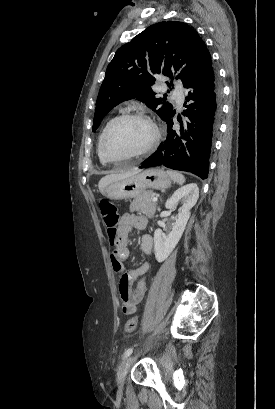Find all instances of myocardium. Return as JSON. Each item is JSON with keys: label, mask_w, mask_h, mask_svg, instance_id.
Returning <instances> with one entry per match:
<instances>
[{"label": "myocardium", "mask_w": 275, "mask_h": 409, "mask_svg": "<svg viewBox=\"0 0 275 409\" xmlns=\"http://www.w3.org/2000/svg\"><path fill=\"white\" fill-rule=\"evenodd\" d=\"M125 120H136V121H140L144 123L149 130V135L145 143L140 148L122 157H137V156L143 155L149 152L152 149V147L156 144V142L158 141L159 130L157 126L155 125V123L148 116L143 115V114H137V113L123 114L115 118L110 123L107 130L105 131V134L102 138L101 146H100V156L101 157H106L104 153V145L111 131L118 123L125 121Z\"/></svg>", "instance_id": "f54148a6"}]
</instances>
